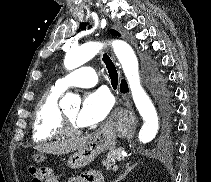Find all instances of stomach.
<instances>
[{"label": "stomach", "mask_w": 211, "mask_h": 182, "mask_svg": "<svg viewBox=\"0 0 211 182\" xmlns=\"http://www.w3.org/2000/svg\"><path fill=\"white\" fill-rule=\"evenodd\" d=\"M116 144V131L114 129H103L92 135L84 147L72 154L67 159V166L71 169L83 168L91 163L100 153L105 150L114 149ZM42 155H34L36 161H41Z\"/></svg>", "instance_id": "0dacf381"}]
</instances>
